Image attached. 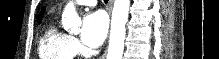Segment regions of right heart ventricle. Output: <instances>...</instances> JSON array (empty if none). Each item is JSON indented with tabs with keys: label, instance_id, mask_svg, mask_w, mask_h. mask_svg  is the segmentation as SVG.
<instances>
[{
	"label": "right heart ventricle",
	"instance_id": "obj_1",
	"mask_svg": "<svg viewBox=\"0 0 219 59\" xmlns=\"http://www.w3.org/2000/svg\"><path fill=\"white\" fill-rule=\"evenodd\" d=\"M76 51L71 37L50 23L40 37L38 55L40 59H73Z\"/></svg>",
	"mask_w": 219,
	"mask_h": 59
}]
</instances>
